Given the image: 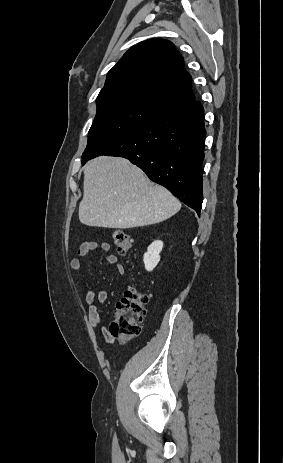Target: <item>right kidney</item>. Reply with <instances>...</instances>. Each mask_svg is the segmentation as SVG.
<instances>
[{
    "instance_id": "right-kidney-1",
    "label": "right kidney",
    "mask_w": 283,
    "mask_h": 463,
    "mask_svg": "<svg viewBox=\"0 0 283 463\" xmlns=\"http://www.w3.org/2000/svg\"><path fill=\"white\" fill-rule=\"evenodd\" d=\"M163 248V242L160 240L154 241L144 254L143 261L145 269L152 271L160 261V252Z\"/></svg>"
}]
</instances>
